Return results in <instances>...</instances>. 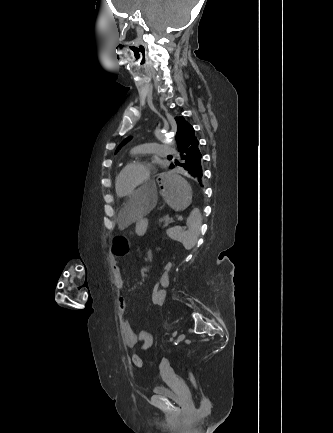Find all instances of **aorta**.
I'll return each mask as SVG.
<instances>
[{"label": "aorta", "mask_w": 333, "mask_h": 433, "mask_svg": "<svg viewBox=\"0 0 333 433\" xmlns=\"http://www.w3.org/2000/svg\"><path fill=\"white\" fill-rule=\"evenodd\" d=\"M155 136L161 142L173 143V139L162 131H158Z\"/></svg>", "instance_id": "aorta-1"}]
</instances>
